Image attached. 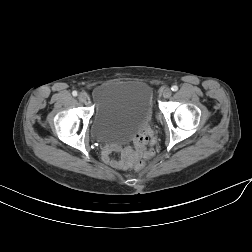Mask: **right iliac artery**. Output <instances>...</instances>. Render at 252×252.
Segmentation results:
<instances>
[{
  "mask_svg": "<svg viewBox=\"0 0 252 252\" xmlns=\"http://www.w3.org/2000/svg\"><path fill=\"white\" fill-rule=\"evenodd\" d=\"M72 95H73V96H77V95H78V92H77V91H73V92H72Z\"/></svg>",
  "mask_w": 252,
  "mask_h": 252,
  "instance_id": "obj_1",
  "label": "right iliac artery"
}]
</instances>
